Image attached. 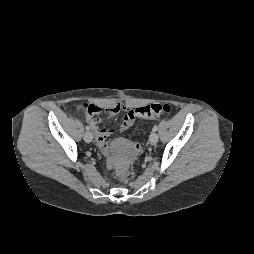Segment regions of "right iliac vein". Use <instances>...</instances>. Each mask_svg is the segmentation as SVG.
Returning a JSON list of instances; mask_svg holds the SVG:
<instances>
[{
    "label": "right iliac vein",
    "instance_id": "right-iliac-vein-1",
    "mask_svg": "<svg viewBox=\"0 0 254 254\" xmlns=\"http://www.w3.org/2000/svg\"><path fill=\"white\" fill-rule=\"evenodd\" d=\"M92 139H93V135H92L91 132H86L84 134V140H85V142L90 143L92 141Z\"/></svg>",
    "mask_w": 254,
    "mask_h": 254
}]
</instances>
